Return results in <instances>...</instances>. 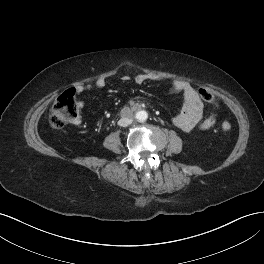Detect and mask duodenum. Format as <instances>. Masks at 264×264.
<instances>
[{"label":"duodenum","instance_id":"1","mask_svg":"<svg viewBox=\"0 0 264 264\" xmlns=\"http://www.w3.org/2000/svg\"><path fill=\"white\" fill-rule=\"evenodd\" d=\"M140 109H141V107L139 105H136V106H133L131 108L126 109L125 112L127 114H130V113L135 112V111H138Z\"/></svg>","mask_w":264,"mask_h":264}]
</instances>
